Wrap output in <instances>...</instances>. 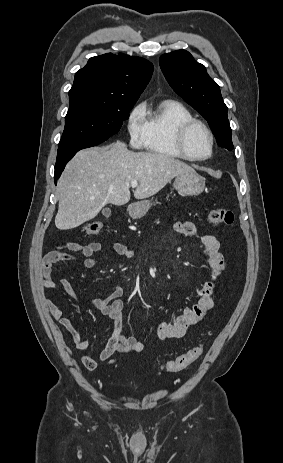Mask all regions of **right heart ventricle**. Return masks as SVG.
<instances>
[{
  "mask_svg": "<svg viewBox=\"0 0 283 463\" xmlns=\"http://www.w3.org/2000/svg\"><path fill=\"white\" fill-rule=\"evenodd\" d=\"M145 138L143 146L152 154L186 159L176 146L179 127L193 119L191 111L181 102L166 99L145 110Z\"/></svg>",
  "mask_w": 283,
  "mask_h": 463,
  "instance_id": "e07e8e85",
  "label": "right heart ventricle"
}]
</instances>
